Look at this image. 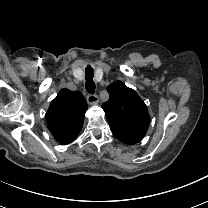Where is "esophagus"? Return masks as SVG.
<instances>
[{
  "label": "esophagus",
  "instance_id": "esophagus-1",
  "mask_svg": "<svg viewBox=\"0 0 208 208\" xmlns=\"http://www.w3.org/2000/svg\"><path fill=\"white\" fill-rule=\"evenodd\" d=\"M98 101H99V98H98V96L95 95V94H89V95L87 96V103H88V104L93 105V104L98 103Z\"/></svg>",
  "mask_w": 208,
  "mask_h": 208
}]
</instances>
